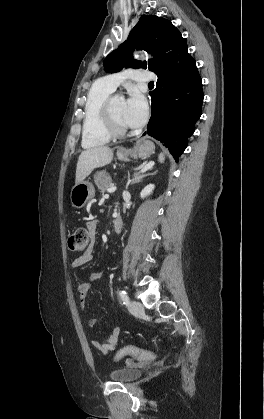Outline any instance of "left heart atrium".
<instances>
[{"label":"left heart atrium","instance_id":"obj_1","mask_svg":"<svg viewBox=\"0 0 264 419\" xmlns=\"http://www.w3.org/2000/svg\"><path fill=\"white\" fill-rule=\"evenodd\" d=\"M148 116V104L145 97L138 90H132L125 101L124 121L127 126L140 127Z\"/></svg>","mask_w":264,"mask_h":419}]
</instances>
